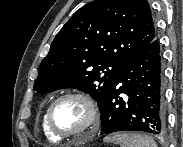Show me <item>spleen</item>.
I'll return each mask as SVG.
<instances>
[{"label": "spleen", "instance_id": "spleen-1", "mask_svg": "<svg viewBox=\"0 0 183 147\" xmlns=\"http://www.w3.org/2000/svg\"><path fill=\"white\" fill-rule=\"evenodd\" d=\"M104 140L119 144L120 147H157L151 137L139 133L119 132L105 137Z\"/></svg>", "mask_w": 183, "mask_h": 147}]
</instances>
